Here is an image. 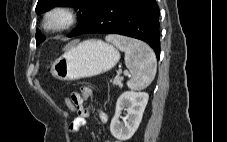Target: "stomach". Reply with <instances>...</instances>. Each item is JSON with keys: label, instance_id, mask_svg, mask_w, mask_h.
<instances>
[{"label": "stomach", "instance_id": "0dacf381", "mask_svg": "<svg viewBox=\"0 0 227 142\" xmlns=\"http://www.w3.org/2000/svg\"><path fill=\"white\" fill-rule=\"evenodd\" d=\"M119 59L114 46L101 40H86L69 46L54 61L51 73L62 81L93 77L112 69Z\"/></svg>", "mask_w": 227, "mask_h": 142}]
</instances>
